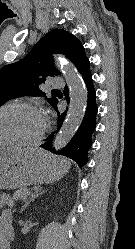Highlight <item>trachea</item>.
Segmentation results:
<instances>
[{"label":"trachea","mask_w":135,"mask_h":249,"mask_svg":"<svg viewBox=\"0 0 135 249\" xmlns=\"http://www.w3.org/2000/svg\"><path fill=\"white\" fill-rule=\"evenodd\" d=\"M53 91H59V90L55 89V90H53Z\"/></svg>","instance_id":"3493384b"}]
</instances>
